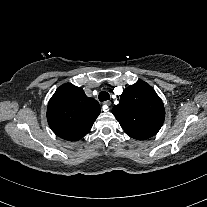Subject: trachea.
<instances>
[{"instance_id":"1","label":"trachea","mask_w":207,"mask_h":207,"mask_svg":"<svg viewBox=\"0 0 207 207\" xmlns=\"http://www.w3.org/2000/svg\"><path fill=\"white\" fill-rule=\"evenodd\" d=\"M98 98H99V100L101 102H103V101L109 100L110 99V95L107 92L102 91V92L99 93V97Z\"/></svg>"}]
</instances>
